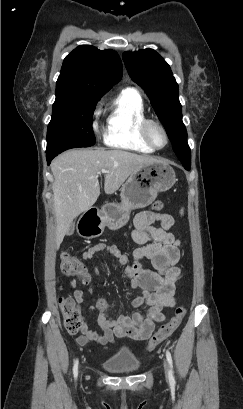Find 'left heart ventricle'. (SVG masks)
<instances>
[{
    "mask_svg": "<svg viewBox=\"0 0 243 409\" xmlns=\"http://www.w3.org/2000/svg\"><path fill=\"white\" fill-rule=\"evenodd\" d=\"M150 132L155 144L158 146H163L165 143V137L163 132L156 126H152Z\"/></svg>",
    "mask_w": 243,
    "mask_h": 409,
    "instance_id": "obj_1",
    "label": "left heart ventricle"
}]
</instances>
